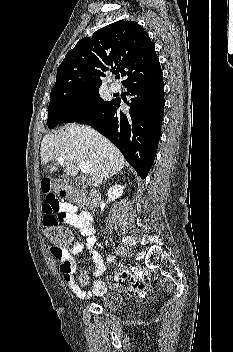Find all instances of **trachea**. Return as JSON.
Instances as JSON below:
<instances>
[{"label":"trachea","instance_id":"obj_1","mask_svg":"<svg viewBox=\"0 0 233 352\" xmlns=\"http://www.w3.org/2000/svg\"><path fill=\"white\" fill-rule=\"evenodd\" d=\"M116 77H117V78H119L120 76H119V75H117Z\"/></svg>","mask_w":233,"mask_h":352}]
</instances>
